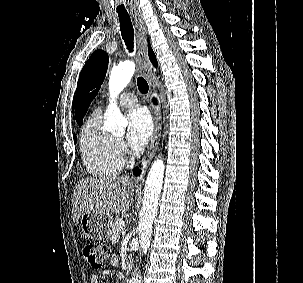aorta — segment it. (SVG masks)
<instances>
[{
	"mask_svg": "<svg viewBox=\"0 0 303 283\" xmlns=\"http://www.w3.org/2000/svg\"><path fill=\"white\" fill-rule=\"evenodd\" d=\"M135 72V64L132 61H125L114 67L109 78L110 104L105 115V129L112 134H123L127 125L126 119L121 114L115 103V98L123 91L130 82ZM165 165L161 158L156 159L148 173L143 204L140 212L138 225L140 256L146 252L152 234V226L157 214L158 202L162 190ZM129 283H141L137 269L134 271Z\"/></svg>",
	"mask_w": 303,
	"mask_h": 283,
	"instance_id": "aorta-1",
	"label": "aorta"
}]
</instances>
